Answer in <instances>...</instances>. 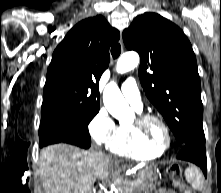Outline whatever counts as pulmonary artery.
<instances>
[{"label": "pulmonary artery", "instance_id": "1", "mask_svg": "<svg viewBox=\"0 0 221 193\" xmlns=\"http://www.w3.org/2000/svg\"><path fill=\"white\" fill-rule=\"evenodd\" d=\"M121 92L125 99L137 110L142 109V102L139 89L133 77H128L121 85Z\"/></svg>", "mask_w": 221, "mask_h": 193}]
</instances>
